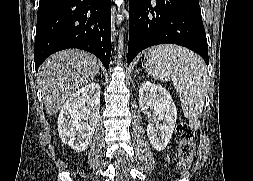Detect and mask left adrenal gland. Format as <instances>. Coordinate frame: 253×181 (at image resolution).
<instances>
[{"mask_svg":"<svg viewBox=\"0 0 253 181\" xmlns=\"http://www.w3.org/2000/svg\"><path fill=\"white\" fill-rule=\"evenodd\" d=\"M139 71H140V69H137V70H136V72H139Z\"/></svg>","mask_w":253,"mask_h":181,"instance_id":"a2214340","label":"left adrenal gland"}]
</instances>
